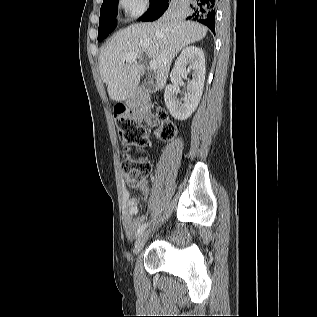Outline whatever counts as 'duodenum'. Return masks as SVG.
Here are the masks:
<instances>
[{"mask_svg":"<svg viewBox=\"0 0 317 317\" xmlns=\"http://www.w3.org/2000/svg\"><path fill=\"white\" fill-rule=\"evenodd\" d=\"M128 105H129L128 109L130 110V113H133V111H138L140 115H143L145 118H149V115L146 111V108H148L149 106L148 101L129 100Z\"/></svg>","mask_w":317,"mask_h":317,"instance_id":"duodenum-1","label":"duodenum"}]
</instances>
